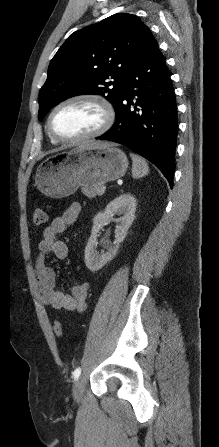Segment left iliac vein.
I'll return each mask as SVG.
<instances>
[{"label": "left iliac vein", "mask_w": 219, "mask_h": 447, "mask_svg": "<svg viewBox=\"0 0 219 447\" xmlns=\"http://www.w3.org/2000/svg\"><path fill=\"white\" fill-rule=\"evenodd\" d=\"M85 377L81 376L77 382L75 383V387L73 390L74 399L79 401L83 398L84 390H85Z\"/></svg>", "instance_id": "4c4485c4"}]
</instances>
